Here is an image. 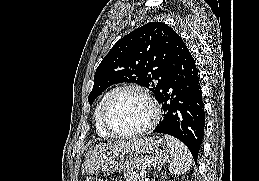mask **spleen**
<instances>
[{"label":"spleen","mask_w":259,"mask_h":181,"mask_svg":"<svg viewBox=\"0 0 259 181\" xmlns=\"http://www.w3.org/2000/svg\"><path fill=\"white\" fill-rule=\"evenodd\" d=\"M164 138L170 148V172L174 175L185 174L193 162L191 153L188 148L175 137L166 134Z\"/></svg>","instance_id":"1"}]
</instances>
